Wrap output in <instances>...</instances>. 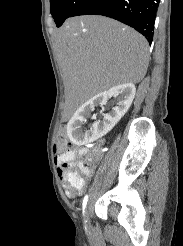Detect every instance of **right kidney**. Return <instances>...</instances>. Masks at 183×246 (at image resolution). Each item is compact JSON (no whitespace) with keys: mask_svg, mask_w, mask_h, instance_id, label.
<instances>
[{"mask_svg":"<svg viewBox=\"0 0 183 246\" xmlns=\"http://www.w3.org/2000/svg\"><path fill=\"white\" fill-rule=\"evenodd\" d=\"M136 92L135 85L125 83L99 93L85 102L73 115L67 124V135L76 145H84L101 138L120 121L128 111ZM111 97L117 98V105L112 111L103 115V121L94 122L89 132H83L81 126L87 121L95 106L105 105Z\"/></svg>","mask_w":183,"mask_h":246,"instance_id":"right-kidney-1","label":"right kidney"}]
</instances>
